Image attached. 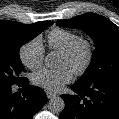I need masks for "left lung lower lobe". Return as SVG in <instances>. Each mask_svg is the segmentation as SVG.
<instances>
[{
    "label": "left lung lower lobe",
    "instance_id": "1",
    "mask_svg": "<svg viewBox=\"0 0 119 119\" xmlns=\"http://www.w3.org/2000/svg\"><path fill=\"white\" fill-rule=\"evenodd\" d=\"M76 95L63 94L60 119H119V83L74 84Z\"/></svg>",
    "mask_w": 119,
    "mask_h": 119
}]
</instances>
